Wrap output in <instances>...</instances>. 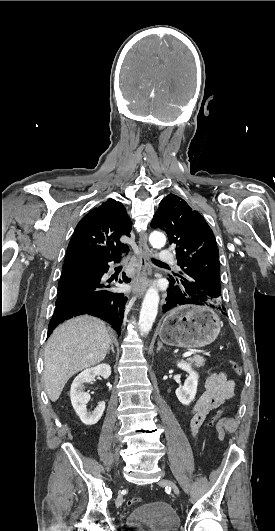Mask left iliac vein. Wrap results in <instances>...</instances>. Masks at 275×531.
<instances>
[{"instance_id": "4c4485c4", "label": "left iliac vein", "mask_w": 275, "mask_h": 531, "mask_svg": "<svg viewBox=\"0 0 275 531\" xmlns=\"http://www.w3.org/2000/svg\"><path fill=\"white\" fill-rule=\"evenodd\" d=\"M161 483L162 484H165L166 486H170L173 490V492L177 495H179V488L178 486L176 485V483L170 479H162L161 480Z\"/></svg>"}]
</instances>
